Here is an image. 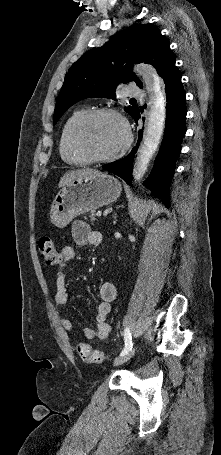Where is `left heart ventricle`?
I'll use <instances>...</instances> for the list:
<instances>
[{"instance_id": "left-heart-ventricle-1", "label": "left heart ventricle", "mask_w": 221, "mask_h": 455, "mask_svg": "<svg viewBox=\"0 0 221 455\" xmlns=\"http://www.w3.org/2000/svg\"><path fill=\"white\" fill-rule=\"evenodd\" d=\"M126 135L121 121L114 116L94 120L85 133V144L96 156H107L121 148Z\"/></svg>"}]
</instances>
